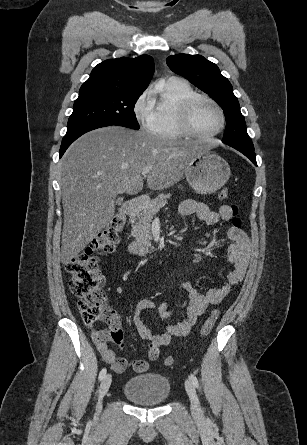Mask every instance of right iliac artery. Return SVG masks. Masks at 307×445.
Here are the masks:
<instances>
[{"label":"right iliac artery","instance_id":"right-iliac-artery-1","mask_svg":"<svg viewBox=\"0 0 307 445\" xmlns=\"http://www.w3.org/2000/svg\"><path fill=\"white\" fill-rule=\"evenodd\" d=\"M106 375V368H103L99 373V380H102Z\"/></svg>","mask_w":307,"mask_h":445}]
</instances>
